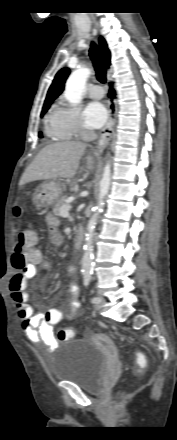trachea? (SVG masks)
Listing matches in <instances>:
<instances>
[{
	"label": "trachea",
	"mask_w": 177,
	"mask_h": 440,
	"mask_svg": "<svg viewBox=\"0 0 177 440\" xmlns=\"http://www.w3.org/2000/svg\"><path fill=\"white\" fill-rule=\"evenodd\" d=\"M89 55L92 60L98 81H100L101 83H105L106 82L105 63L101 56L100 50L95 43L91 44Z\"/></svg>",
	"instance_id": "obj_1"
}]
</instances>
